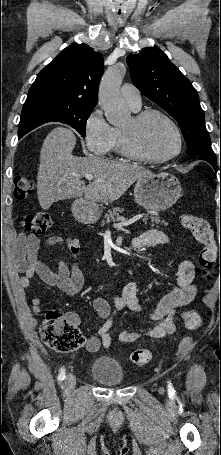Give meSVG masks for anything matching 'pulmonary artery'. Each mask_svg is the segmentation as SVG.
<instances>
[{
  "instance_id": "e3ab8cb5",
  "label": "pulmonary artery",
  "mask_w": 221,
  "mask_h": 455,
  "mask_svg": "<svg viewBox=\"0 0 221 455\" xmlns=\"http://www.w3.org/2000/svg\"><path fill=\"white\" fill-rule=\"evenodd\" d=\"M121 95L125 101L134 109L137 110L141 106V95L138 88L126 83L121 87Z\"/></svg>"
}]
</instances>
